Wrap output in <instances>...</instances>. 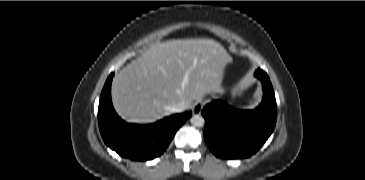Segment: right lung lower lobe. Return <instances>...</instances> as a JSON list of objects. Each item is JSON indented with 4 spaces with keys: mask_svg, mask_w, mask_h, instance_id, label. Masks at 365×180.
I'll return each mask as SVG.
<instances>
[{
    "mask_svg": "<svg viewBox=\"0 0 365 180\" xmlns=\"http://www.w3.org/2000/svg\"><path fill=\"white\" fill-rule=\"evenodd\" d=\"M113 75L110 74L105 83L98 107L99 129L104 142L120 156L131 160L146 161L160 156L176 131L191 117V111L175 114L149 125L126 123L112 106Z\"/></svg>",
    "mask_w": 365,
    "mask_h": 180,
    "instance_id": "right-lung-lower-lobe-1",
    "label": "right lung lower lobe"
}]
</instances>
